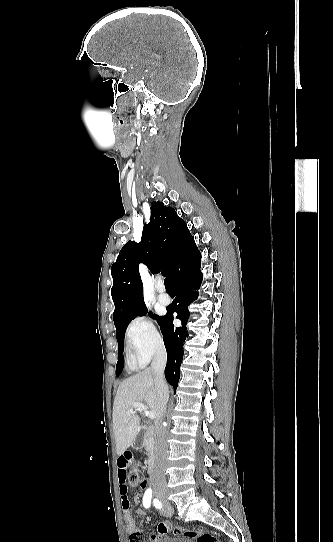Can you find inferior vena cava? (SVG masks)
Instances as JSON below:
<instances>
[{"instance_id":"inferior-vena-cava-1","label":"inferior vena cava","mask_w":333,"mask_h":542,"mask_svg":"<svg viewBox=\"0 0 333 542\" xmlns=\"http://www.w3.org/2000/svg\"><path fill=\"white\" fill-rule=\"evenodd\" d=\"M167 362V354L164 348H158L154 354L152 360L151 368L154 372L156 392L158 396V412L159 418L157 420L156 426V440H157V450L154 468L150 470V484L154 490L157 492L159 488H166V462H167V440H166V428L163 426L164 412L166 404L169 398L168 386L166 384L164 370Z\"/></svg>"}]
</instances>
